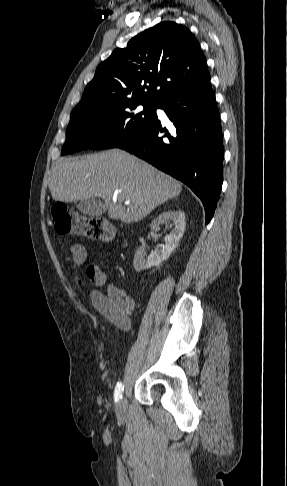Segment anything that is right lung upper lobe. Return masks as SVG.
Listing matches in <instances>:
<instances>
[{
  "label": "right lung upper lobe",
  "mask_w": 287,
  "mask_h": 486,
  "mask_svg": "<svg viewBox=\"0 0 287 486\" xmlns=\"http://www.w3.org/2000/svg\"><path fill=\"white\" fill-rule=\"evenodd\" d=\"M199 42L183 25L161 22L117 48L97 66L93 80L73 109L125 99L159 103L170 95L209 82Z\"/></svg>",
  "instance_id": "obj_1"
}]
</instances>
